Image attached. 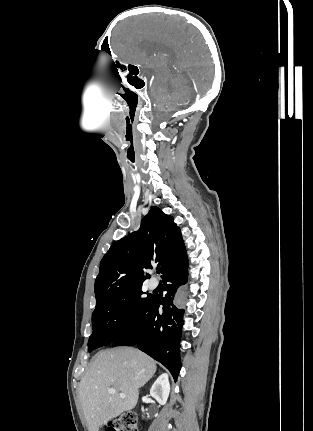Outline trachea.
Instances as JSON below:
<instances>
[{
  "label": "trachea",
  "instance_id": "trachea-1",
  "mask_svg": "<svg viewBox=\"0 0 313 431\" xmlns=\"http://www.w3.org/2000/svg\"><path fill=\"white\" fill-rule=\"evenodd\" d=\"M156 271L159 274L161 272V268L160 267L156 268Z\"/></svg>",
  "mask_w": 313,
  "mask_h": 431
}]
</instances>
